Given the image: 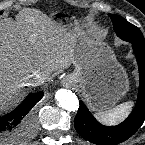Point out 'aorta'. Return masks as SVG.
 Returning <instances> with one entry per match:
<instances>
[{
  "instance_id": "obj_1",
  "label": "aorta",
  "mask_w": 145,
  "mask_h": 145,
  "mask_svg": "<svg viewBox=\"0 0 145 145\" xmlns=\"http://www.w3.org/2000/svg\"><path fill=\"white\" fill-rule=\"evenodd\" d=\"M59 105L68 112H77L79 99L71 90H60L56 96Z\"/></svg>"
}]
</instances>
